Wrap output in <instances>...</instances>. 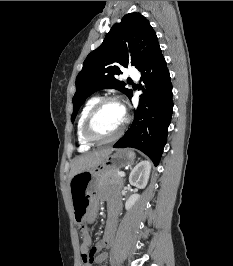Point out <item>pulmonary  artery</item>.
Instances as JSON below:
<instances>
[{"label":"pulmonary artery","instance_id":"e3ab8cb5","mask_svg":"<svg viewBox=\"0 0 233 266\" xmlns=\"http://www.w3.org/2000/svg\"><path fill=\"white\" fill-rule=\"evenodd\" d=\"M128 75H129L132 79H135V80H138L139 77H140L138 71H136V70H131V71H129Z\"/></svg>","mask_w":233,"mask_h":266}]
</instances>
